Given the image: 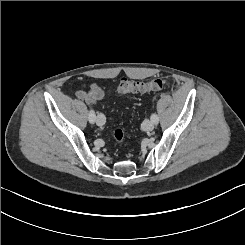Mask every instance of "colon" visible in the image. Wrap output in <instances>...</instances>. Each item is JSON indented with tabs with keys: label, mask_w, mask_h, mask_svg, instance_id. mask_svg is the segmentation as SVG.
I'll list each match as a JSON object with an SVG mask.
<instances>
[{
	"label": "colon",
	"mask_w": 245,
	"mask_h": 245,
	"mask_svg": "<svg viewBox=\"0 0 245 245\" xmlns=\"http://www.w3.org/2000/svg\"><path fill=\"white\" fill-rule=\"evenodd\" d=\"M167 85L168 80L165 78H156L149 81H139L123 78L116 86V92L119 95L145 93L162 89ZM112 137L116 142L121 143L123 140V132L117 129L113 132Z\"/></svg>",
	"instance_id": "colon-1"
}]
</instances>
